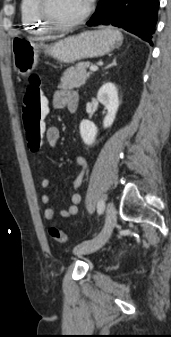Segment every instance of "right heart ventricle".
Listing matches in <instances>:
<instances>
[{"instance_id":"1","label":"right heart ventricle","mask_w":171,"mask_h":337,"mask_svg":"<svg viewBox=\"0 0 171 337\" xmlns=\"http://www.w3.org/2000/svg\"><path fill=\"white\" fill-rule=\"evenodd\" d=\"M38 2V0H21V21L25 30L44 33L49 30V26L39 15Z\"/></svg>"}]
</instances>
